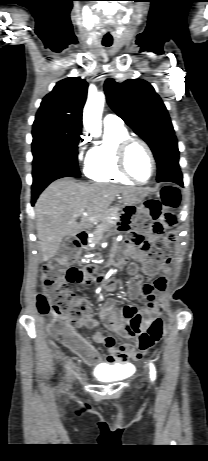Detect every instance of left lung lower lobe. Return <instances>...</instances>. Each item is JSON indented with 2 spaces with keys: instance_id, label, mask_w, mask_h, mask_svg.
<instances>
[{
  "instance_id": "left-lung-lower-lobe-1",
  "label": "left lung lower lobe",
  "mask_w": 208,
  "mask_h": 461,
  "mask_svg": "<svg viewBox=\"0 0 208 461\" xmlns=\"http://www.w3.org/2000/svg\"><path fill=\"white\" fill-rule=\"evenodd\" d=\"M158 182H174L177 183L178 185L183 186V179H182V173L180 169H176L169 174L165 175L164 177L160 178Z\"/></svg>"
}]
</instances>
